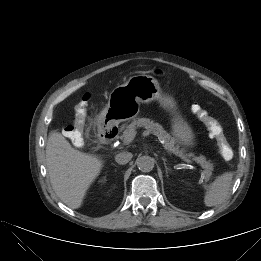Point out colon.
<instances>
[{
	"label": "colon",
	"mask_w": 261,
	"mask_h": 261,
	"mask_svg": "<svg viewBox=\"0 0 261 261\" xmlns=\"http://www.w3.org/2000/svg\"><path fill=\"white\" fill-rule=\"evenodd\" d=\"M89 100L88 95H84L81 102L77 106V113L84 115L87 102ZM192 112L206 125L210 136L213 137L217 144L218 153L224 160H231L234 156V151L229 144L224 129L217 120L208 115V113L202 109L198 104L192 105ZM64 134L69 138L73 144L79 146L83 142L82 131L75 125L68 126L64 129Z\"/></svg>",
	"instance_id": "colon-1"
}]
</instances>
